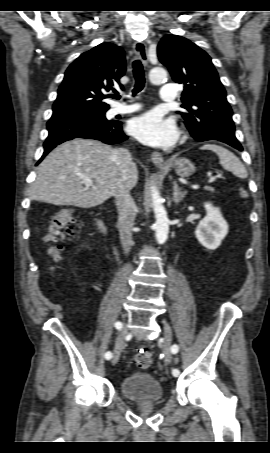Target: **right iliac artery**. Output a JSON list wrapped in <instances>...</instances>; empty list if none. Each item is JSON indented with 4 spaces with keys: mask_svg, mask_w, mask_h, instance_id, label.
Masks as SVG:
<instances>
[{
    "mask_svg": "<svg viewBox=\"0 0 270 453\" xmlns=\"http://www.w3.org/2000/svg\"><path fill=\"white\" fill-rule=\"evenodd\" d=\"M115 327H116L117 329H121V328H122V323H121V322H116V323H115ZM111 357H112V353H111L110 351H107V352L105 353V358H106L107 360H109V359H111Z\"/></svg>",
    "mask_w": 270,
    "mask_h": 453,
    "instance_id": "obj_1",
    "label": "right iliac artery"
}]
</instances>
